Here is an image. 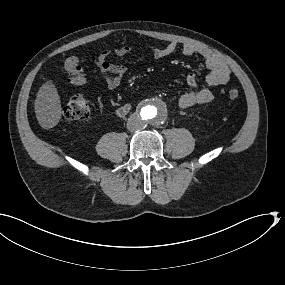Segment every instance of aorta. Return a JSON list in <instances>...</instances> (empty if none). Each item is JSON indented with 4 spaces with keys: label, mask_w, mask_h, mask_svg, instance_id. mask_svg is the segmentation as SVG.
Returning <instances> with one entry per match:
<instances>
[{
    "label": "aorta",
    "mask_w": 285,
    "mask_h": 285,
    "mask_svg": "<svg viewBox=\"0 0 285 285\" xmlns=\"http://www.w3.org/2000/svg\"><path fill=\"white\" fill-rule=\"evenodd\" d=\"M140 114L143 120L148 124L158 125L164 122L168 117L169 107L166 101L161 97L151 96L145 99L141 104Z\"/></svg>",
    "instance_id": "1"
}]
</instances>
